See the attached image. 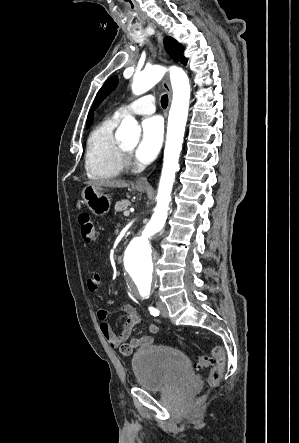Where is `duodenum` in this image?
Wrapping results in <instances>:
<instances>
[{
	"instance_id": "obj_1",
	"label": "duodenum",
	"mask_w": 299,
	"mask_h": 443,
	"mask_svg": "<svg viewBox=\"0 0 299 443\" xmlns=\"http://www.w3.org/2000/svg\"><path fill=\"white\" fill-rule=\"evenodd\" d=\"M121 261H122L121 256H117V262L121 263Z\"/></svg>"
}]
</instances>
